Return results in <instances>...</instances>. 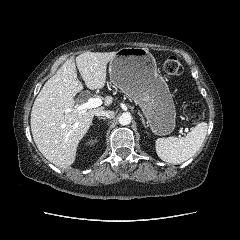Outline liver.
<instances>
[{"label":"liver","instance_id":"liver-1","mask_svg":"<svg viewBox=\"0 0 240 240\" xmlns=\"http://www.w3.org/2000/svg\"><path fill=\"white\" fill-rule=\"evenodd\" d=\"M116 52H84L68 59L44 84L31 111V131L43 156L61 168L74 163L80 140L88 132L97 111L109 106L113 98L104 97V106L78 111L74 97L83 90L76 66L91 90L105 86L107 64Z\"/></svg>","mask_w":240,"mask_h":240}]
</instances>
